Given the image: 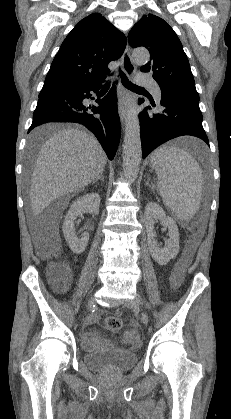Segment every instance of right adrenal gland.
<instances>
[{"instance_id": "2a0ac1e0", "label": "right adrenal gland", "mask_w": 231, "mask_h": 419, "mask_svg": "<svg viewBox=\"0 0 231 419\" xmlns=\"http://www.w3.org/2000/svg\"><path fill=\"white\" fill-rule=\"evenodd\" d=\"M98 180H101L102 182H104V176H103V172H101L94 180L92 184H95Z\"/></svg>"}]
</instances>
